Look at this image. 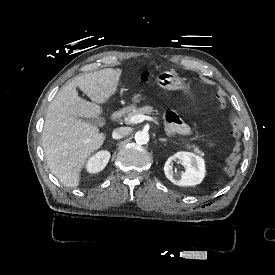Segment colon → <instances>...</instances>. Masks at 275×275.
<instances>
[{"label":"colon","instance_id":"obj_1","mask_svg":"<svg viewBox=\"0 0 275 275\" xmlns=\"http://www.w3.org/2000/svg\"><path fill=\"white\" fill-rule=\"evenodd\" d=\"M216 99L218 107L225 108L227 106L226 98L222 93H218ZM230 121L232 123V136L235 140V145L232 153L224 163V170L226 174L234 175L241 155V124L239 123L237 117L233 114L230 115Z\"/></svg>","mask_w":275,"mask_h":275}]
</instances>
